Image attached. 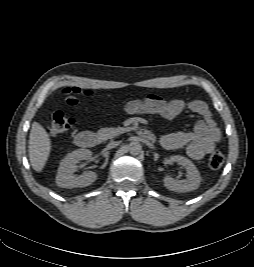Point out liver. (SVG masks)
Instances as JSON below:
<instances>
[{"mask_svg":"<svg viewBox=\"0 0 254 267\" xmlns=\"http://www.w3.org/2000/svg\"><path fill=\"white\" fill-rule=\"evenodd\" d=\"M51 151V140L44 127L34 122L29 136V158L32 168L41 172L48 160Z\"/></svg>","mask_w":254,"mask_h":267,"instance_id":"obj_1","label":"liver"}]
</instances>
